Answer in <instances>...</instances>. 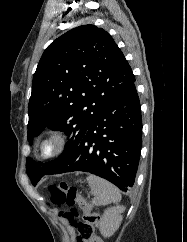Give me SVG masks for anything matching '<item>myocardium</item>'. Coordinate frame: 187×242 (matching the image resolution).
Here are the masks:
<instances>
[{
    "label": "myocardium",
    "instance_id": "obj_1",
    "mask_svg": "<svg viewBox=\"0 0 187 242\" xmlns=\"http://www.w3.org/2000/svg\"><path fill=\"white\" fill-rule=\"evenodd\" d=\"M47 143L54 144V150L50 153L44 151V146ZM67 147V137L60 130L50 131L39 143V153L43 158L49 159L61 155Z\"/></svg>",
    "mask_w": 187,
    "mask_h": 242
}]
</instances>
